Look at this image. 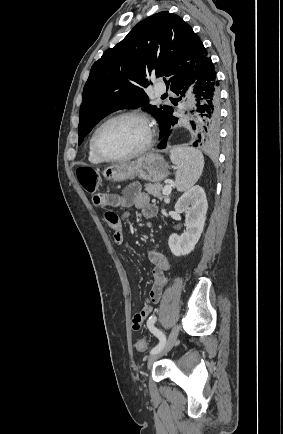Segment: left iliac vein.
<instances>
[{
	"label": "left iliac vein",
	"instance_id": "obj_1",
	"mask_svg": "<svg viewBox=\"0 0 283 434\" xmlns=\"http://www.w3.org/2000/svg\"><path fill=\"white\" fill-rule=\"evenodd\" d=\"M179 329H180L179 325L176 324L172 328V330H171V332L169 334V337H168V339H167L164 347L160 351H158L157 353L152 354L149 357L148 363H147L148 369L151 368V366L154 363V361H156L158 358L162 357L163 355H165L166 353H168L172 349V347L174 346V343H175V341L177 339V336H178V333H179Z\"/></svg>",
	"mask_w": 283,
	"mask_h": 434
}]
</instances>
